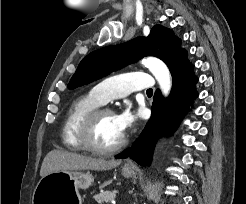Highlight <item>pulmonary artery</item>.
Instances as JSON below:
<instances>
[{
	"instance_id": "e3ab8cb5",
	"label": "pulmonary artery",
	"mask_w": 246,
	"mask_h": 204,
	"mask_svg": "<svg viewBox=\"0 0 246 204\" xmlns=\"http://www.w3.org/2000/svg\"><path fill=\"white\" fill-rule=\"evenodd\" d=\"M154 86L153 78L144 72H129L109 77L92 90V95L105 104L112 99L129 95L133 91L147 90Z\"/></svg>"
}]
</instances>
